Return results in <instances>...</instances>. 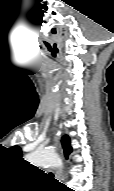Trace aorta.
<instances>
[{
    "label": "aorta",
    "mask_w": 114,
    "mask_h": 191,
    "mask_svg": "<svg viewBox=\"0 0 114 191\" xmlns=\"http://www.w3.org/2000/svg\"><path fill=\"white\" fill-rule=\"evenodd\" d=\"M26 158L35 166H50L55 168L62 167L60 157L53 151L38 149L29 153Z\"/></svg>",
    "instance_id": "1"
}]
</instances>
